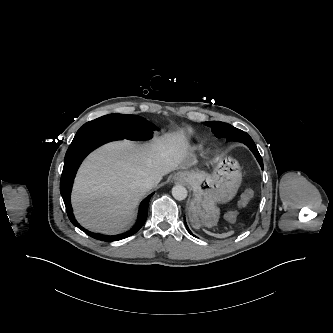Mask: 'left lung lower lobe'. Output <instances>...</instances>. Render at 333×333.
<instances>
[{
	"label": "left lung lower lobe",
	"mask_w": 333,
	"mask_h": 333,
	"mask_svg": "<svg viewBox=\"0 0 333 333\" xmlns=\"http://www.w3.org/2000/svg\"><path fill=\"white\" fill-rule=\"evenodd\" d=\"M246 137L247 138L245 139V143L244 144H246L249 147V149L253 152V154L255 155L256 159L258 160L261 168L263 169V160H262V158H261V156H260V154H259V152L257 150L256 145L254 144V142H253V140L251 138H249L248 136H246ZM186 228H187L188 232L191 235H193L191 233V231L189 230V228L187 227V225H186Z\"/></svg>",
	"instance_id": "obj_1"
}]
</instances>
